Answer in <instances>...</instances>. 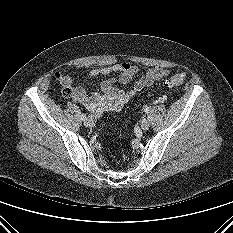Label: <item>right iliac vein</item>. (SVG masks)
I'll list each match as a JSON object with an SVG mask.
<instances>
[{
  "label": "right iliac vein",
  "instance_id": "1",
  "mask_svg": "<svg viewBox=\"0 0 233 233\" xmlns=\"http://www.w3.org/2000/svg\"><path fill=\"white\" fill-rule=\"evenodd\" d=\"M93 119L91 118V117H88V118H86L85 120H84V124H85V126H87V127H92L93 126Z\"/></svg>",
  "mask_w": 233,
  "mask_h": 233
}]
</instances>
